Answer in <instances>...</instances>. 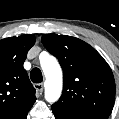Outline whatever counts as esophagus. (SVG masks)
Instances as JSON below:
<instances>
[{"instance_id": "1", "label": "esophagus", "mask_w": 119, "mask_h": 119, "mask_svg": "<svg viewBox=\"0 0 119 119\" xmlns=\"http://www.w3.org/2000/svg\"><path fill=\"white\" fill-rule=\"evenodd\" d=\"M35 89L37 90L38 93H42L43 92V84L38 83V84H34Z\"/></svg>"}]
</instances>
